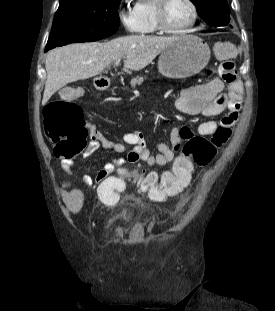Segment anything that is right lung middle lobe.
Masks as SVG:
<instances>
[{
    "instance_id": "1",
    "label": "right lung middle lobe",
    "mask_w": 275,
    "mask_h": 311,
    "mask_svg": "<svg viewBox=\"0 0 275 311\" xmlns=\"http://www.w3.org/2000/svg\"><path fill=\"white\" fill-rule=\"evenodd\" d=\"M121 0H60L45 52L70 43L100 40L120 25Z\"/></svg>"
}]
</instances>
